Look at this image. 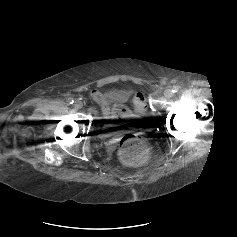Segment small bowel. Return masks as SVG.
<instances>
[{"mask_svg": "<svg viewBox=\"0 0 237 237\" xmlns=\"http://www.w3.org/2000/svg\"><path fill=\"white\" fill-rule=\"evenodd\" d=\"M91 97L100 105L105 121H116L132 116V112L124 105L130 97V91L101 93L98 90H93ZM132 102L136 112L141 113L145 110V100L141 94L134 95Z\"/></svg>", "mask_w": 237, "mask_h": 237, "instance_id": "obj_1", "label": "small bowel"}]
</instances>
